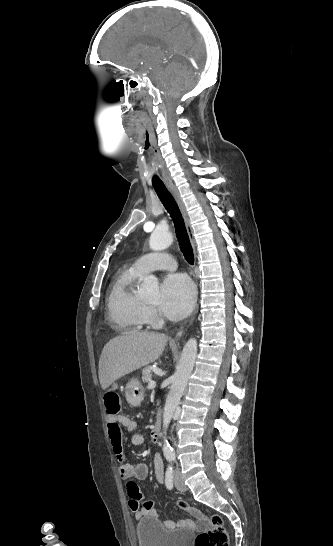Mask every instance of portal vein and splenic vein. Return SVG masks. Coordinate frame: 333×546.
Listing matches in <instances>:
<instances>
[{"label":"portal vein and splenic vein","instance_id":"portal-vein-and-splenic-vein-1","mask_svg":"<svg viewBox=\"0 0 333 546\" xmlns=\"http://www.w3.org/2000/svg\"><path fill=\"white\" fill-rule=\"evenodd\" d=\"M148 387H149L150 389L155 388V387H156V382L151 380V381L149 382V384H148Z\"/></svg>","mask_w":333,"mask_h":546}]
</instances>
